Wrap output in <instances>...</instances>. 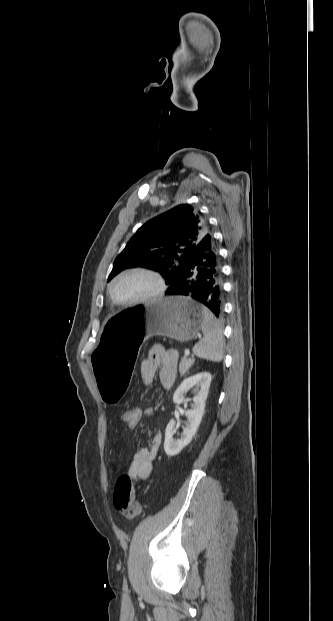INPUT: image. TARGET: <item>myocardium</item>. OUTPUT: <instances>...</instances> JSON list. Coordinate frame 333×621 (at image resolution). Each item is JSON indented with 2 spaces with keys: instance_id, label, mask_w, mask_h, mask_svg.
Segmentation results:
<instances>
[{
  "instance_id": "1",
  "label": "myocardium",
  "mask_w": 333,
  "mask_h": 621,
  "mask_svg": "<svg viewBox=\"0 0 333 621\" xmlns=\"http://www.w3.org/2000/svg\"><path fill=\"white\" fill-rule=\"evenodd\" d=\"M130 274H143V275H147L151 277L156 283V289L149 295L136 299V300H131V301L117 300L113 294V285L120 278L126 275H130ZM165 291H166V284L161 274L154 269H151L148 267H142V266L131 267V268H127L121 271L110 281L108 285V295L112 303L115 305L124 306V307L135 306V305L145 304L148 302L155 301L161 298L164 295Z\"/></svg>"
}]
</instances>
